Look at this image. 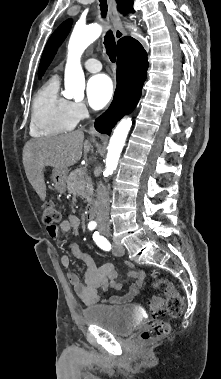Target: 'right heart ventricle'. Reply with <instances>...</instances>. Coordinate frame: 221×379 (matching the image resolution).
Listing matches in <instances>:
<instances>
[{
  "instance_id": "obj_1",
  "label": "right heart ventricle",
  "mask_w": 221,
  "mask_h": 379,
  "mask_svg": "<svg viewBox=\"0 0 221 379\" xmlns=\"http://www.w3.org/2000/svg\"><path fill=\"white\" fill-rule=\"evenodd\" d=\"M76 123L71 101L59 93L58 79H50L34 97L30 134L34 137L55 136L71 131Z\"/></svg>"
}]
</instances>
